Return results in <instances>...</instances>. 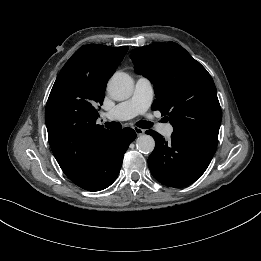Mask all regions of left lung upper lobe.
<instances>
[{
  "label": "left lung upper lobe",
  "mask_w": 261,
  "mask_h": 261,
  "mask_svg": "<svg viewBox=\"0 0 261 261\" xmlns=\"http://www.w3.org/2000/svg\"><path fill=\"white\" fill-rule=\"evenodd\" d=\"M137 73L154 84L153 110H160L173 133L218 142L221 107L210 74L174 42L153 43L132 50Z\"/></svg>",
  "instance_id": "left-lung-upper-lobe-1"
}]
</instances>
